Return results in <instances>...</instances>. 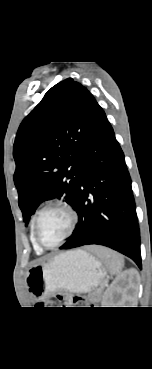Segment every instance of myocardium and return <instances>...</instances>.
<instances>
[{
	"label": "myocardium",
	"instance_id": "myocardium-1",
	"mask_svg": "<svg viewBox=\"0 0 152 369\" xmlns=\"http://www.w3.org/2000/svg\"><path fill=\"white\" fill-rule=\"evenodd\" d=\"M52 207H59L67 212L69 216V227L65 235L62 238H60L56 243L52 245H45L39 238V221H40L41 215L47 209L52 208ZM77 223H78V214L76 210L74 209V207L69 202H67L64 199H59V198L50 199L41 206V208L37 211L35 215L34 222H33L34 240L41 249H46V250L54 249L60 246L64 241H66L73 234V232L76 229Z\"/></svg>",
	"mask_w": 152,
	"mask_h": 369
}]
</instances>
